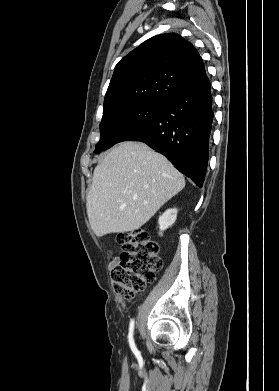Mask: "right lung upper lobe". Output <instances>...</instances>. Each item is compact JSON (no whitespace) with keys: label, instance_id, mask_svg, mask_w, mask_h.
<instances>
[{"label":"right lung upper lobe","instance_id":"1","mask_svg":"<svg viewBox=\"0 0 279 391\" xmlns=\"http://www.w3.org/2000/svg\"><path fill=\"white\" fill-rule=\"evenodd\" d=\"M206 77L195 47L176 33L154 36L115 67L103 113L138 103H165Z\"/></svg>","mask_w":279,"mask_h":391}]
</instances>
